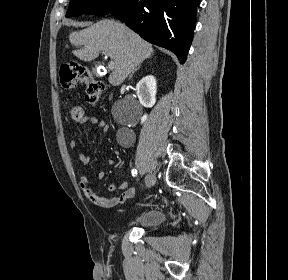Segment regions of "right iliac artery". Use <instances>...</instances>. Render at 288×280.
Here are the masks:
<instances>
[{
    "mask_svg": "<svg viewBox=\"0 0 288 280\" xmlns=\"http://www.w3.org/2000/svg\"><path fill=\"white\" fill-rule=\"evenodd\" d=\"M131 173H132L133 176H137V173H138V172H137L136 169H133V170L131 171Z\"/></svg>",
    "mask_w": 288,
    "mask_h": 280,
    "instance_id": "82829eb1",
    "label": "right iliac artery"
}]
</instances>
